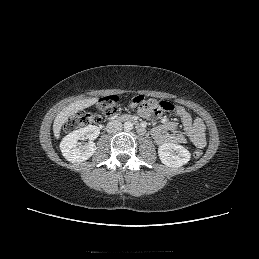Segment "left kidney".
Segmentation results:
<instances>
[{"instance_id":"5707ae66","label":"left kidney","mask_w":259,"mask_h":259,"mask_svg":"<svg viewBox=\"0 0 259 259\" xmlns=\"http://www.w3.org/2000/svg\"><path fill=\"white\" fill-rule=\"evenodd\" d=\"M158 155L163 164L168 167H180L191 158V153L181 145L164 143L158 148Z\"/></svg>"}]
</instances>
